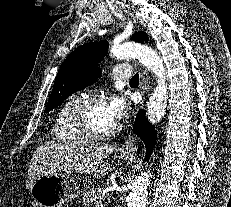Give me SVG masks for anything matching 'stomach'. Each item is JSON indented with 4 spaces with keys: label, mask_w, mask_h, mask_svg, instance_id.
<instances>
[{
    "label": "stomach",
    "mask_w": 231,
    "mask_h": 207,
    "mask_svg": "<svg viewBox=\"0 0 231 207\" xmlns=\"http://www.w3.org/2000/svg\"><path fill=\"white\" fill-rule=\"evenodd\" d=\"M122 158L130 162L125 154ZM80 193L78 182L64 172H49L38 177L30 188V194L40 207H61L72 202Z\"/></svg>",
    "instance_id": "obj_1"
}]
</instances>
